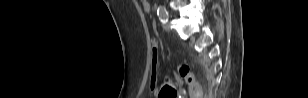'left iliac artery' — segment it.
<instances>
[{
  "label": "left iliac artery",
  "instance_id": "obj_1",
  "mask_svg": "<svg viewBox=\"0 0 308 98\" xmlns=\"http://www.w3.org/2000/svg\"><path fill=\"white\" fill-rule=\"evenodd\" d=\"M157 15L162 23H166L168 21V12L164 6L160 5L158 7Z\"/></svg>",
  "mask_w": 308,
  "mask_h": 98
}]
</instances>
